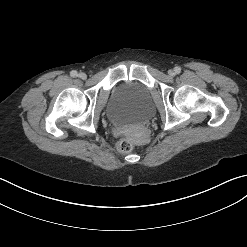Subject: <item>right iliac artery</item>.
Returning <instances> with one entry per match:
<instances>
[{
    "label": "right iliac artery",
    "mask_w": 247,
    "mask_h": 247,
    "mask_svg": "<svg viewBox=\"0 0 247 247\" xmlns=\"http://www.w3.org/2000/svg\"><path fill=\"white\" fill-rule=\"evenodd\" d=\"M71 77H76L77 76V71L73 70L70 72Z\"/></svg>",
    "instance_id": "right-iliac-artery-1"
}]
</instances>
